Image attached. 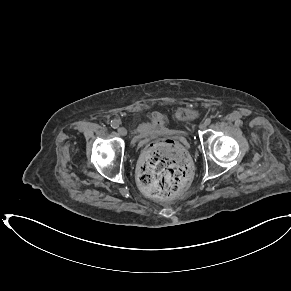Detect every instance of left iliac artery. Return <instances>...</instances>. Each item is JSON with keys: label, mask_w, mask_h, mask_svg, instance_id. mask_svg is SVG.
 <instances>
[{"label": "left iliac artery", "mask_w": 291, "mask_h": 291, "mask_svg": "<svg viewBox=\"0 0 291 291\" xmlns=\"http://www.w3.org/2000/svg\"><path fill=\"white\" fill-rule=\"evenodd\" d=\"M205 123H206L207 125H209V124L211 123V118H207V119L205 120Z\"/></svg>", "instance_id": "1"}]
</instances>
